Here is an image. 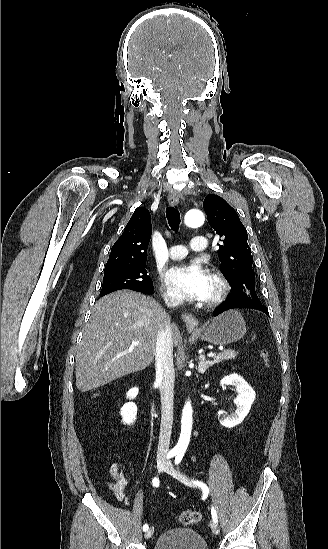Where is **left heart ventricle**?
Masks as SVG:
<instances>
[{
    "label": "left heart ventricle",
    "instance_id": "b2bd125f",
    "mask_svg": "<svg viewBox=\"0 0 328 549\" xmlns=\"http://www.w3.org/2000/svg\"><path fill=\"white\" fill-rule=\"evenodd\" d=\"M204 268L207 270L208 267L204 265ZM215 291H216V284H215V282H214L213 279H212V281H211V286H210V290H209V293H208L206 299L212 297V296L214 295Z\"/></svg>",
    "mask_w": 328,
    "mask_h": 549
}]
</instances>
